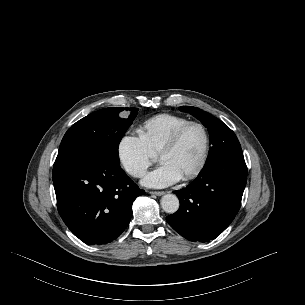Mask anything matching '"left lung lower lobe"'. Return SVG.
I'll use <instances>...</instances> for the list:
<instances>
[{
	"label": "left lung lower lobe",
	"instance_id": "0a47b994",
	"mask_svg": "<svg viewBox=\"0 0 305 305\" xmlns=\"http://www.w3.org/2000/svg\"><path fill=\"white\" fill-rule=\"evenodd\" d=\"M246 180L247 167L242 152L222 157L204 167L186 188L174 191L180 207L166 217L167 222L190 241L215 239L235 218Z\"/></svg>",
	"mask_w": 305,
	"mask_h": 305
}]
</instances>
